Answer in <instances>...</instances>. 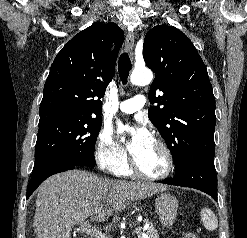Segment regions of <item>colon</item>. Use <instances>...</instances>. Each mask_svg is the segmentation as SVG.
I'll return each instance as SVG.
<instances>
[{"instance_id": "obj_1", "label": "colon", "mask_w": 247, "mask_h": 238, "mask_svg": "<svg viewBox=\"0 0 247 238\" xmlns=\"http://www.w3.org/2000/svg\"><path fill=\"white\" fill-rule=\"evenodd\" d=\"M183 238H200L198 235L192 232H187L183 235Z\"/></svg>"}]
</instances>
